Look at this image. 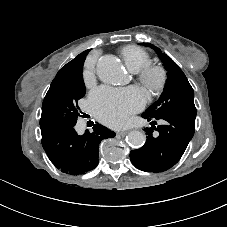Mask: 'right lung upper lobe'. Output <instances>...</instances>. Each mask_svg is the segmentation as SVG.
I'll return each instance as SVG.
<instances>
[{"instance_id": "1", "label": "right lung upper lobe", "mask_w": 227, "mask_h": 227, "mask_svg": "<svg viewBox=\"0 0 227 227\" xmlns=\"http://www.w3.org/2000/svg\"><path fill=\"white\" fill-rule=\"evenodd\" d=\"M90 50H86L79 54L76 58L71 60L69 63H67L65 66H63L57 73L56 77L62 76L65 74H71L75 73L78 68L84 63V60L86 58V55L88 54Z\"/></svg>"}]
</instances>
